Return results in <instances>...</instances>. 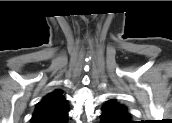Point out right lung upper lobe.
Returning <instances> with one entry per match:
<instances>
[{
  "mask_svg": "<svg viewBox=\"0 0 172 123\" xmlns=\"http://www.w3.org/2000/svg\"><path fill=\"white\" fill-rule=\"evenodd\" d=\"M67 117V100L61 90H56L38 103L31 123H67Z\"/></svg>",
  "mask_w": 172,
  "mask_h": 123,
  "instance_id": "1",
  "label": "right lung upper lobe"
}]
</instances>
